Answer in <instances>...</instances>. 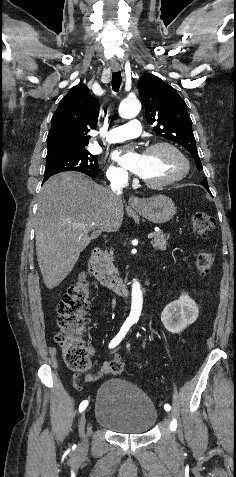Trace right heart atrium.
<instances>
[{"label": "right heart atrium", "mask_w": 236, "mask_h": 477, "mask_svg": "<svg viewBox=\"0 0 236 477\" xmlns=\"http://www.w3.org/2000/svg\"><path fill=\"white\" fill-rule=\"evenodd\" d=\"M106 176L112 183H122L128 179L127 173L121 167L115 165L108 167Z\"/></svg>", "instance_id": "obj_1"}]
</instances>
